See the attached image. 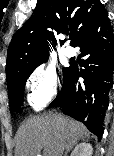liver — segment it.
<instances>
[{
  "mask_svg": "<svg viewBox=\"0 0 114 156\" xmlns=\"http://www.w3.org/2000/svg\"><path fill=\"white\" fill-rule=\"evenodd\" d=\"M85 135L83 124L61 114L33 116L17 131L15 156H60Z\"/></svg>",
  "mask_w": 114,
  "mask_h": 156,
  "instance_id": "6515ba94",
  "label": "liver"
}]
</instances>
